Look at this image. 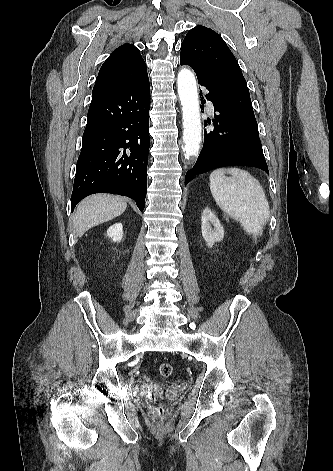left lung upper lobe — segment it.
Segmentation results:
<instances>
[{"mask_svg":"<svg viewBox=\"0 0 333 471\" xmlns=\"http://www.w3.org/2000/svg\"><path fill=\"white\" fill-rule=\"evenodd\" d=\"M180 62L191 66L197 76L215 85L229 106L257 125L238 62L215 31L202 25L191 29L182 42Z\"/></svg>","mask_w":333,"mask_h":471,"instance_id":"5c2ea615","label":"left lung upper lobe"}]
</instances>
